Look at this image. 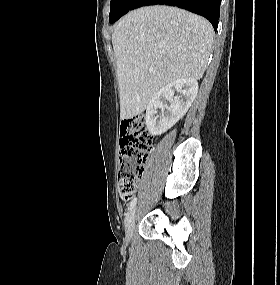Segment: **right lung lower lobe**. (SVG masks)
Wrapping results in <instances>:
<instances>
[{
    "label": "right lung lower lobe",
    "instance_id": "98d812e1",
    "mask_svg": "<svg viewBox=\"0 0 280 285\" xmlns=\"http://www.w3.org/2000/svg\"><path fill=\"white\" fill-rule=\"evenodd\" d=\"M221 0H137L132 9L149 5H170L186 9L207 18L215 30L218 27Z\"/></svg>",
    "mask_w": 280,
    "mask_h": 285
}]
</instances>
